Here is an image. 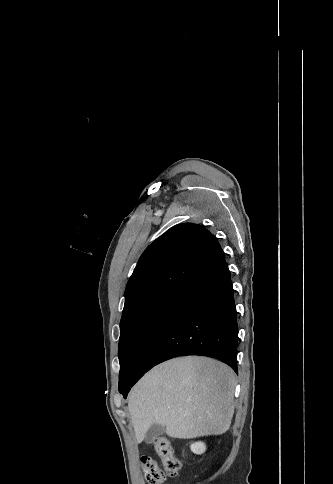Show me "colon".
I'll return each instance as SVG.
<instances>
[{
    "mask_svg": "<svg viewBox=\"0 0 333 484\" xmlns=\"http://www.w3.org/2000/svg\"><path fill=\"white\" fill-rule=\"evenodd\" d=\"M154 448L161 459L158 463L152 457H144L142 465L144 476L148 484H163L167 479L175 477L180 469L181 462L165 437H157L153 441Z\"/></svg>",
    "mask_w": 333,
    "mask_h": 484,
    "instance_id": "1",
    "label": "colon"
}]
</instances>
